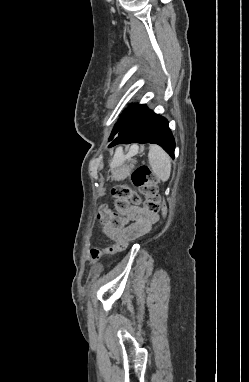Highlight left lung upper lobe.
Returning a JSON list of instances; mask_svg holds the SVG:
<instances>
[{
	"instance_id": "1",
	"label": "left lung upper lobe",
	"mask_w": 249,
	"mask_h": 382,
	"mask_svg": "<svg viewBox=\"0 0 249 382\" xmlns=\"http://www.w3.org/2000/svg\"><path fill=\"white\" fill-rule=\"evenodd\" d=\"M145 105L134 104L130 106L115 124L114 129L109 137V141L114 139L119 133H123L131 128L147 111Z\"/></svg>"
}]
</instances>
